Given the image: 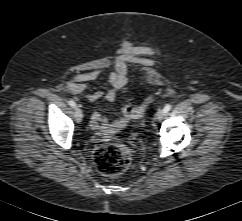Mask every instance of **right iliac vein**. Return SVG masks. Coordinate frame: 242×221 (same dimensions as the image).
I'll return each instance as SVG.
<instances>
[{"label": "right iliac vein", "mask_w": 242, "mask_h": 221, "mask_svg": "<svg viewBox=\"0 0 242 221\" xmlns=\"http://www.w3.org/2000/svg\"><path fill=\"white\" fill-rule=\"evenodd\" d=\"M74 116H75V120H76V122L79 123V122L82 121L83 113H82V111H81L80 108H76V109H75V114H74Z\"/></svg>", "instance_id": "63e3f726"}]
</instances>
